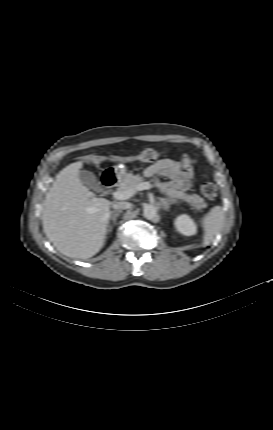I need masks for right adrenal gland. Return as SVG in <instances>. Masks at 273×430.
Wrapping results in <instances>:
<instances>
[{
  "label": "right adrenal gland",
  "mask_w": 273,
  "mask_h": 430,
  "mask_svg": "<svg viewBox=\"0 0 273 430\" xmlns=\"http://www.w3.org/2000/svg\"><path fill=\"white\" fill-rule=\"evenodd\" d=\"M120 213H121L120 210L111 211V215L109 216V220H108V226L111 220L113 221V224H116L117 217H119ZM111 230H112V226H109L108 231H111Z\"/></svg>",
  "instance_id": "2a0ac1e0"
}]
</instances>
